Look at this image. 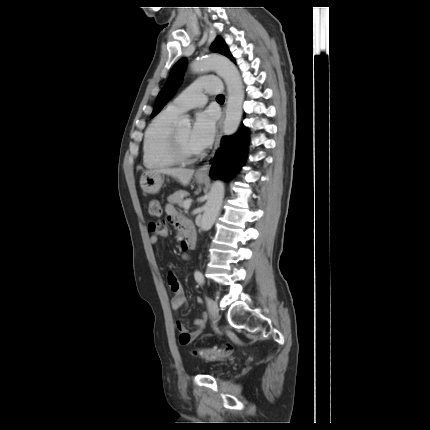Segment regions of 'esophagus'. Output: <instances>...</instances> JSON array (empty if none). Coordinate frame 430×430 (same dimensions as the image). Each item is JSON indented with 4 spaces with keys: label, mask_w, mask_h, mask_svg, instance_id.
I'll return each mask as SVG.
<instances>
[{
    "label": "esophagus",
    "mask_w": 430,
    "mask_h": 430,
    "mask_svg": "<svg viewBox=\"0 0 430 430\" xmlns=\"http://www.w3.org/2000/svg\"><path fill=\"white\" fill-rule=\"evenodd\" d=\"M222 126H223V118H222V120L220 121V123H219V125H218V128H217V136H216V141H215V145H214V149H213V151H212V153H211V155H210V158L209 159H212L213 157H214V155L216 154V152H217V150H218V148L220 147V141H221V138H222ZM210 163H209V161L205 164V165H203V166H201L197 171H196V174H198V175H201V176H207V174H208V171H209V169H210Z\"/></svg>",
    "instance_id": "34e87169"
}]
</instances>
